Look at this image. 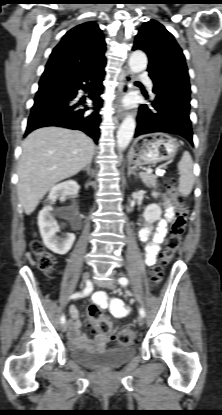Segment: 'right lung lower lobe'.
<instances>
[{
  "label": "right lung lower lobe",
  "mask_w": 222,
  "mask_h": 415,
  "mask_svg": "<svg viewBox=\"0 0 222 415\" xmlns=\"http://www.w3.org/2000/svg\"><path fill=\"white\" fill-rule=\"evenodd\" d=\"M105 65L87 70L76 71L70 68L46 66L39 82V89L28 119L25 136L31 131L46 126H58L78 129L85 132L97 143L100 137L98 112L102 105L99 97L104 80ZM78 90L90 92L89 98L96 104L94 112L76 101Z\"/></svg>",
  "instance_id": "right-lung-lower-lobe-1"
}]
</instances>
